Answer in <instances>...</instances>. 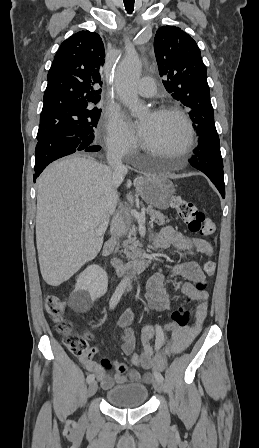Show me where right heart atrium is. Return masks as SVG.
Instances as JSON below:
<instances>
[{"instance_id": "d8ad5b80", "label": "right heart atrium", "mask_w": 259, "mask_h": 448, "mask_svg": "<svg viewBox=\"0 0 259 448\" xmlns=\"http://www.w3.org/2000/svg\"><path fill=\"white\" fill-rule=\"evenodd\" d=\"M101 141L104 150L116 157H128L139 146L137 135L118 111H112L107 116Z\"/></svg>"}]
</instances>
